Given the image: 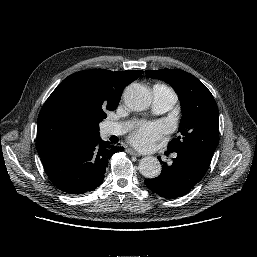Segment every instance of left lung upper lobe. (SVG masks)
<instances>
[{
  "instance_id": "5c2ea615",
  "label": "left lung upper lobe",
  "mask_w": 257,
  "mask_h": 257,
  "mask_svg": "<svg viewBox=\"0 0 257 257\" xmlns=\"http://www.w3.org/2000/svg\"><path fill=\"white\" fill-rule=\"evenodd\" d=\"M145 73L148 77L164 80L174 87L180 96V135L168 144V150H199L213 156L219 142V111L207 87L183 70H146Z\"/></svg>"
}]
</instances>
